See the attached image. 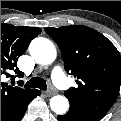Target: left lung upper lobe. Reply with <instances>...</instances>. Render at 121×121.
Here are the masks:
<instances>
[{"label":"left lung upper lobe","instance_id":"5c2ea615","mask_svg":"<svg viewBox=\"0 0 121 121\" xmlns=\"http://www.w3.org/2000/svg\"><path fill=\"white\" fill-rule=\"evenodd\" d=\"M58 44L65 70L77 87L65 91L70 108L99 118L114 104L121 83V58L101 33L82 25L46 28Z\"/></svg>","mask_w":121,"mask_h":121}]
</instances>
